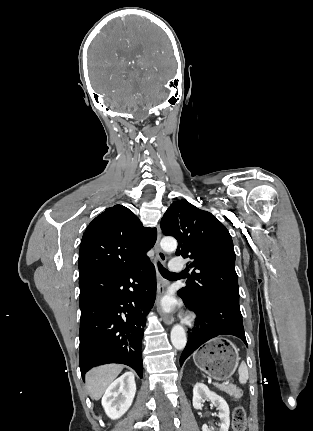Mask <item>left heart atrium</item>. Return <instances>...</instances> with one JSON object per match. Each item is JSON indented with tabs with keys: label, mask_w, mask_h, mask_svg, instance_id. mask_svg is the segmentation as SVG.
Returning <instances> with one entry per match:
<instances>
[{
	"label": "left heart atrium",
	"mask_w": 313,
	"mask_h": 431,
	"mask_svg": "<svg viewBox=\"0 0 313 431\" xmlns=\"http://www.w3.org/2000/svg\"><path fill=\"white\" fill-rule=\"evenodd\" d=\"M163 306H164V308L166 310L172 309V301H171V299H169V298L165 299L164 302H163Z\"/></svg>",
	"instance_id": "left-heart-atrium-1"
}]
</instances>
